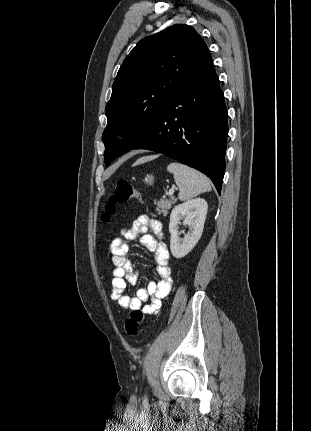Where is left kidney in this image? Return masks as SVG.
Instances as JSON below:
<instances>
[{
    "label": "left kidney",
    "instance_id": "1",
    "mask_svg": "<svg viewBox=\"0 0 311 431\" xmlns=\"http://www.w3.org/2000/svg\"><path fill=\"white\" fill-rule=\"evenodd\" d=\"M207 210L208 204L202 198L188 200L173 208L170 214L169 231L171 233L170 249L174 257H184L196 245L202 235ZM180 219H183L185 225H189V231L185 233L184 237H179L178 233Z\"/></svg>",
    "mask_w": 311,
    "mask_h": 431
}]
</instances>
